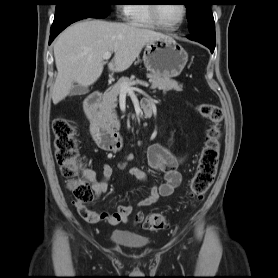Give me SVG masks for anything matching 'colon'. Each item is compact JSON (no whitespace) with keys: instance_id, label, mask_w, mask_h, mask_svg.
I'll list each match as a JSON object with an SVG mask.
<instances>
[{"instance_id":"colon-1","label":"colon","mask_w":278,"mask_h":278,"mask_svg":"<svg viewBox=\"0 0 278 278\" xmlns=\"http://www.w3.org/2000/svg\"><path fill=\"white\" fill-rule=\"evenodd\" d=\"M197 112L209 121L206 137L197 169L190 183L189 195L193 202L200 201L212 185L218 167L220 154L221 129L223 112L214 104L202 103ZM55 158L62 175L67 179V185L75 197V202L86 205L93 199L87 172L83 170L84 158L79 153V141L76 127L65 117L59 116L53 120ZM137 223L146 230L156 231L168 226V222L160 214H138Z\"/></svg>"}]
</instances>
